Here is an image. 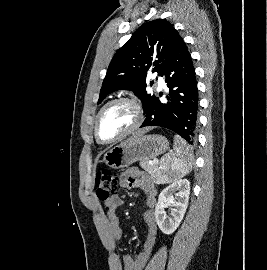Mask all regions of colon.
I'll list each match as a JSON object with an SVG mask.
<instances>
[{"mask_svg":"<svg viewBox=\"0 0 267 270\" xmlns=\"http://www.w3.org/2000/svg\"><path fill=\"white\" fill-rule=\"evenodd\" d=\"M120 187L119 178L108 169H101L96 174V195L101 201L114 196Z\"/></svg>","mask_w":267,"mask_h":270,"instance_id":"obj_1","label":"colon"}]
</instances>
